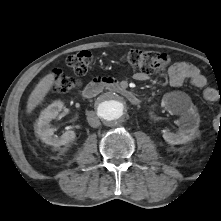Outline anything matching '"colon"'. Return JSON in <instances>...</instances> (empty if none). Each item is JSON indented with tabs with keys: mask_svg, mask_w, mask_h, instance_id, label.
Segmentation results:
<instances>
[{
	"mask_svg": "<svg viewBox=\"0 0 221 221\" xmlns=\"http://www.w3.org/2000/svg\"><path fill=\"white\" fill-rule=\"evenodd\" d=\"M126 62L139 73L146 75L159 74L170 63V56L156 51H143L133 49L126 53ZM92 63V53L82 50L68 57V67L77 75L87 73ZM53 89L60 93H68L79 86V81L73 76L54 70L51 74ZM221 104V97L219 99Z\"/></svg>",
	"mask_w": 221,
	"mask_h": 221,
	"instance_id": "colon-1",
	"label": "colon"
}]
</instances>
